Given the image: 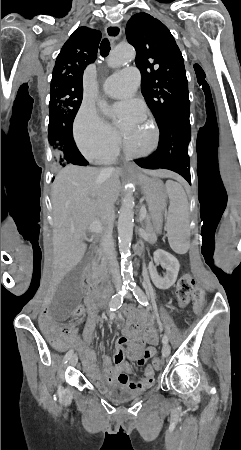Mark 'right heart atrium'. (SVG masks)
Returning a JSON list of instances; mask_svg holds the SVG:
<instances>
[{
    "label": "right heart atrium",
    "mask_w": 241,
    "mask_h": 450,
    "mask_svg": "<svg viewBox=\"0 0 241 450\" xmlns=\"http://www.w3.org/2000/svg\"><path fill=\"white\" fill-rule=\"evenodd\" d=\"M75 144L87 159L104 161L115 154L112 130L99 118L94 107L81 105L73 121Z\"/></svg>",
    "instance_id": "obj_1"
}]
</instances>
